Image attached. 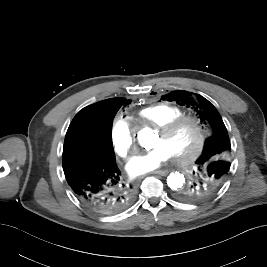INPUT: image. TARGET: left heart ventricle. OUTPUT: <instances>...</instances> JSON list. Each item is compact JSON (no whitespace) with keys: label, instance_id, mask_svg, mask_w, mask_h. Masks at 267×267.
Returning <instances> with one entry per match:
<instances>
[{"label":"left heart ventricle","instance_id":"obj_1","mask_svg":"<svg viewBox=\"0 0 267 267\" xmlns=\"http://www.w3.org/2000/svg\"><path fill=\"white\" fill-rule=\"evenodd\" d=\"M197 140V130L189 122L182 124L168 136L157 135L153 146L162 145L171 154H186L192 150Z\"/></svg>","mask_w":267,"mask_h":267}]
</instances>
